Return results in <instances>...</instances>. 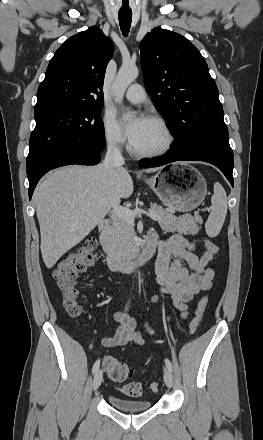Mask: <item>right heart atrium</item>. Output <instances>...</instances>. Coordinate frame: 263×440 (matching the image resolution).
I'll return each instance as SVG.
<instances>
[{
	"instance_id": "right-heart-atrium-1",
	"label": "right heart atrium",
	"mask_w": 263,
	"mask_h": 440,
	"mask_svg": "<svg viewBox=\"0 0 263 440\" xmlns=\"http://www.w3.org/2000/svg\"><path fill=\"white\" fill-rule=\"evenodd\" d=\"M102 132L105 143L114 149L122 148L125 145V137L116 119L107 114L102 121Z\"/></svg>"
}]
</instances>
